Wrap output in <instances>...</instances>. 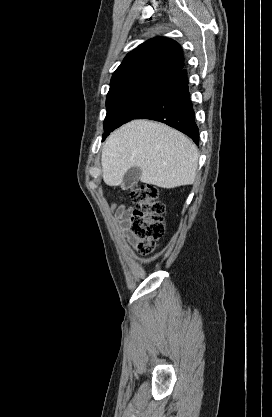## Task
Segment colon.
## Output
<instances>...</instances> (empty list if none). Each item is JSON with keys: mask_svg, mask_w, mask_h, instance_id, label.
Masks as SVG:
<instances>
[{"mask_svg": "<svg viewBox=\"0 0 272 417\" xmlns=\"http://www.w3.org/2000/svg\"><path fill=\"white\" fill-rule=\"evenodd\" d=\"M159 191L151 184H139L131 189L135 209L130 216V231L143 254L152 252L164 235V204L158 200Z\"/></svg>", "mask_w": 272, "mask_h": 417, "instance_id": "obj_1", "label": "colon"}]
</instances>
